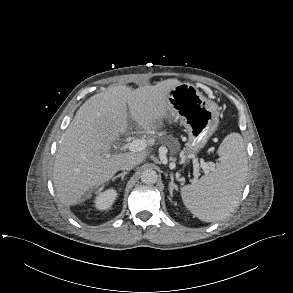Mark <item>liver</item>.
<instances>
[{"instance_id": "1", "label": "liver", "mask_w": 293, "mask_h": 293, "mask_svg": "<svg viewBox=\"0 0 293 293\" xmlns=\"http://www.w3.org/2000/svg\"><path fill=\"white\" fill-rule=\"evenodd\" d=\"M181 82L168 79L155 86L131 90L120 85L90 97L78 109L62 134L53 167V183L60 202L65 206L78 204L85 193L109 181L125 158L136 165L148 151L111 154V144L127 131L128 112L146 134H155L170 120L169 91Z\"/></svg>"}]
</instances>
